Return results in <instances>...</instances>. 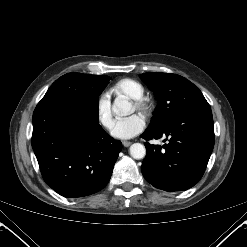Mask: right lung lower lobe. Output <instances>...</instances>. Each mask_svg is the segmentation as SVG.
Here are the masks:
<instances>
[{"mask_svg": "<svg viewBox=\"0 0 247 247\" xmlns=\"http://www.w3.org/2000/svg\"><path fill=\"white\" fill-rule=\"evenodd\" d=\"M98 119L93 101L42 98L34 110L32 147L41 174L64 197L91 195L110 180L122 143Z\"/></svg>", "mask_w": 247, "mask_h": 247, "instance_id": "1", "label": "right lung lower lobe"}]
</instances>
